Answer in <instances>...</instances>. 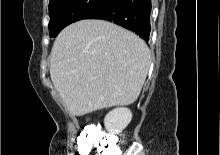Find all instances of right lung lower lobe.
<instances>
[{"instance_id": "98d812e1", "label": "right lung lower lobe", "mask_w": 220, "mask_h": 155, "mask_svg": "<svg viewBox=\"0 0 220 155\" xmlns=\"http://www.w3.org/2000/svg\"><path fill=\"white\" fill-rule=\"evenodd\" d=\"M151 0H116L85 19H102L127 28L149 40Z\"/></svg>"}]
</instances>
